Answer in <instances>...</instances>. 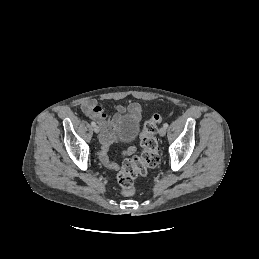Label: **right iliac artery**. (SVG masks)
Instances as JSON below:
<instances>
[{"mask_svg":"<svg viewBox=\"0 0 259 259\" xmlns=\"http://www.w3.org/2000/svg\"><path fill=\"white\" fill-rule=\"evenodd\" d=\"M91 125L94 127V126H96V123L92 121Z\"/></svg>","mask_w":259,"mask_h":259,"instance_id":"82829eb1","label":"right iliac artery"}]
</instances>
